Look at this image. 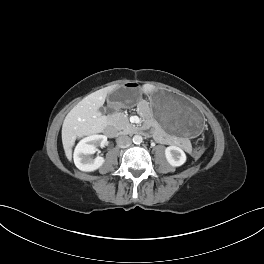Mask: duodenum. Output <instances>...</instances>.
Segmentation results:
<instances>
[{"label": "duodenum", "mask_w": 264, "mask_h": 264, "mask_svg": "<svg viewBox=\"0 0 264 264\" xmlns=\"http://www.w3.org/2000/svg\"><path fill=\"white\" fill-rule=\"evenodd\" d=\"M131 132L134 134H139L146 132V129L141 127H133L131 129ZM105 133L107 136L113 137L117 134V130L112 124L108 123L107 126L105 127Z\"/></svg>", "instance_id": "duodenum-1"}]
</instances>
